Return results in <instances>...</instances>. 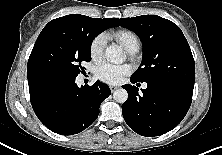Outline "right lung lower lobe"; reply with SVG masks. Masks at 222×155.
Masks as SVG:
<instances>
[{
  "label": "right lung lower lobe",
  "instance_id": "right-lung-lower-lobe-1",
  "mask_svg": "<svg viewBox=\"0 0 222 155\" xmlns=\"http://www.w3.org/2000/svg\"><path fill=\"white\" fill-rule=\"evenodd\" d=\"M110 94L109 87L100 81L79 88L75 78H61L51 81L47 98L31 96L30 99L35 114L48 129L74 135L97 119L101 102Z\"/></svg>",
  "mask_w": 222,
  "mask_h": 155
}]
</instances>
